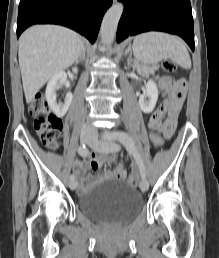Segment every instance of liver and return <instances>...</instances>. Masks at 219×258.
Instances as JSON below:
<instances>
[{
  "instance_id": "6515ba94",
  "label": "liver",
  "mask_w": 219,
  "mask_h": 258,
  "mask_svg": "<svg viewBox=\"0 0 219 258\" xmlns=\"http://www.w3.org/2000/svg\"><path fill=\"white\" fill-rule=\"evenodd\" d=\"M74 31L55 25H36L19 39V65L26 102L30 103L55 74L71 66L83 51Z\"/></svg>"
}]
</instances>
